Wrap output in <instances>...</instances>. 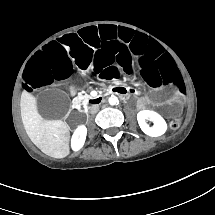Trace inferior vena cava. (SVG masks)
Instances as JSON below:
<instances>
[{
  "instance_id": "602c4592",
  "label": "inferior vena cava",
  "mask_w": 215,
  "mask_h": 215,
  "mask_svg": "<svg viewBox=\"0 0 215 215\" xmlns=\"http://www.w3.org/2000/svg\"><path fill=\"white\" fill-rule=\"evenodd\" d=\"M99 111V106L98 105H92L91 107H90V109H89V112L91 113V114H95V113H97Z\"/></svg>"
}]
</instances>
